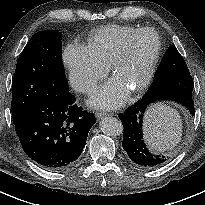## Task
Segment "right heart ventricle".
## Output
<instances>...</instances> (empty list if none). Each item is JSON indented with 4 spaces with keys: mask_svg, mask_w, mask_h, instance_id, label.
Wrapping results in <instances>:
<instances>
[{
    "mask_svg": "<svg viewBox=\"0 0 205 205\" xmlns=\"http://www.w3.org/2000/svg\"><path fill=\"white\" fill-rule=\"evenodd\" d=\"M138 29L131 26L107 25L93 33L88 49L97 61L109 66L125 39Z\"/></svg>",
    "mask_w": 205,
    "mask_h": 205,
    "instance_id": "1",
    "label": "right heart ventricle"
}]
</instances>
